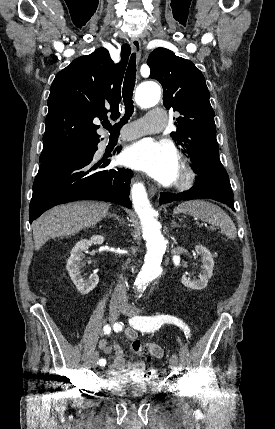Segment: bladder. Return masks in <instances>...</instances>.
I'll list each match as a JSON object with an SVG mask.
<instances>
[{
	"instance_id": "1",
	"label": "bladder",
	"mask_w": 275,
	"mask_h": 429,
	"mask_svg": "<svg viewBox=\"0 0 275 429\" xmlns=\"http://www.w3.org/2000/svg\"><path fill=\"white\" fill-rule=\"evenodd\" d=\"M109 387L113 398H145L146 393H157V384H148V378H113Z\"/></svg>"
}]
</instances>
